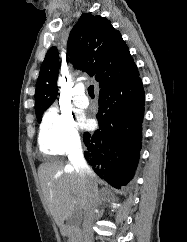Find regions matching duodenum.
I'll return each mask as SVG.
<instances>
[{
  "label": "duodenum",
  "instance_id": "1",
  "mask_svg": "<svg viewBox=\"0 0 187 242\" xmlns=\"http://www.w3.org/2000/svg\"><path fill=\"white\" fill-rule=\"evenodd\" d=\"M60 230H61V233L63 235H66V234H68L70 232L71 228H70L69 225L64 224V225L61 226Z\"/></svg>",
  "mask_w": 187,
  "mask_h": 242
}]
</instances>
